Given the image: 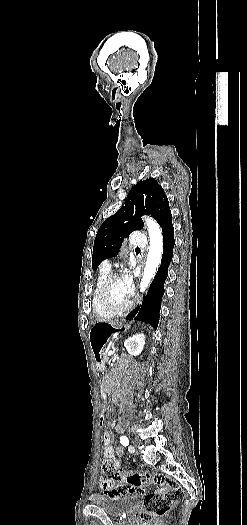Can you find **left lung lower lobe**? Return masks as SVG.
<instances>
[{"label": "left lung lower lobe", "instance_id": "1", "mask_svg": "<svg viewBox=\"0 0 247 525\" xmlns=\"http://www.w3.org/2000/svg\"><path fill=\"white\" fill-rule=\"evenodd\" d=\"M163 232V255L161 265L149 288V293L145 296L143 304L137 307L127 319L134 318L151 324L157 328L159 322V312L161 300L164 294V282L168 276V267L172 260V252L175 244L174 227L172 216L166 217L160 224Z\"/></svg>", "mask_w": 247, "mask_h": 525}]
</instances>
